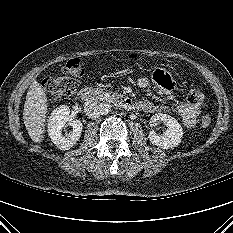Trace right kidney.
I'll return each mask as SVG.
<instances>
[{"instance_id":"ca27d5eb","label":"right kidney","mask_w":233,"mask_h":233,"mask_svg":"<svg viewBox=\"0 0 233 233\" xmlns=\"http://www.w3.org/2000/svg\"><path fill=\"white\" fill-rule=\"evenodd\" d=\"M70 109L61 105L54 109L48 120V134L52 142L61 150H68L79 140L82 133V123L77 119H70ZM69 123L73 129L71 134L64 136L62 128Z\"/></svg>"}]
</instances>
